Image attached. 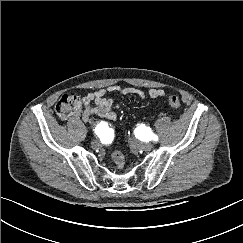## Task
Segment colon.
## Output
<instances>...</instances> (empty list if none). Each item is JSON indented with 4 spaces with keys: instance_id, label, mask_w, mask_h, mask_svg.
Instances as JSON below:
<instances>
[{
    "instance_id": "1",
    "label": "colon",
    "mask_w": 243,
    "mask_h": 243,
    "mask_svg": "<svg viewBox=\"0 0 243 243\" xmlns=\"http://www.w3.org/2000/svg\"><path fill=\"white\" fill-rule=\"evenodd\" d=\"M83 99L78 95L64 94L62 95L55 105V111L61 119H66L72 116L80 107ZM167 102L174 110L178 111L181 108V102L175 95H170ZM112 159L118 169H123L125 165L124 155L115 150L112 153Z\"/></svg>"
}]
</instances>
